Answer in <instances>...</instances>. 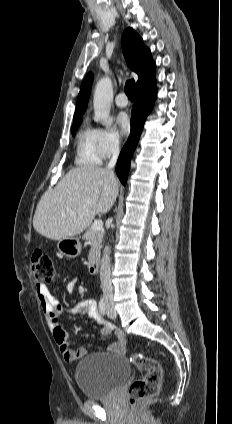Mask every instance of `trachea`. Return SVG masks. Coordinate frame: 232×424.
Returning <instances> with one entry per match:
<instances>
[{"label":"trachea","mask_w":232,"mask_h":424,"mask_svg":"<svg viewBox=\"0 0 232 424\" xmlns=\"http://www.w3.org/2000/svg\"><path fill=\"white\" fill-rule=\"evenodd\" d=\"M134 91H135V81L133 79L129 80L125 84V93L129 99H134Z\"/></svg>","instance_id":"obj_1"}]
</instances>
